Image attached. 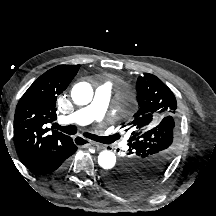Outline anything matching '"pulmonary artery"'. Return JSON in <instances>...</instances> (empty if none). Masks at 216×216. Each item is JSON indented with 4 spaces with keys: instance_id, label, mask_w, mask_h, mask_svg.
<instances>
[{
    "instance_id": "e3ab8cb5",
    "label": "pulmonary artery",
    "mask_w": 216,
    "mask_h": 216,
    "mask_svg": "<svg viewBox=\"0 0 216 216\" xmlns=\"http://www.w3.org/2000/svg\"><path fill=\"white\" fill-rule=\"evenodd\" d=\"M112 93V85L104 83L96 88L92 102L65 117L68 124L86 125L92 121H102Z\"/></svg>"
}]
</instances>
